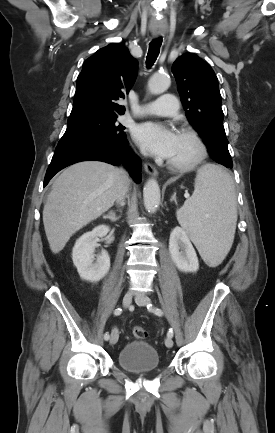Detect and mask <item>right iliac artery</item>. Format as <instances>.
I'll list each match as a JSON object with an SVG mask.
<instances>
[{
	"mask_svg": "<svg viewBox=\"0 0 275 433\" xmlns=\"http://www.w3.org/2000/svg\"><path fill=\"white\" fill-rule=\"evenodd\" d=\"M122 313V309L121 308H117V309H115V311H114V315H120ZM109 338H110V336H109V333H105L104 334V339L105 340H109Z\"/></svg>",
	"mask_w": 275,
	"mask_h": 433,
	"instance_id": "obj_1",
	"label": "right iliac artery"
}]
</instances>
